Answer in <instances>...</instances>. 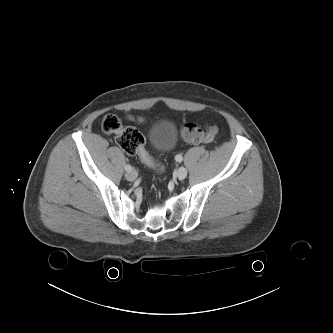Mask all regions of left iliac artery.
<instances>
[{
  "mask_svg": "<svg viewBox=\"0 0 333 333\" xmlns=\"http://www.w3.org/2000/svg\"><path fill=\"white\" fill-rule=\"evenodd\" d=\"M175 160H176L177 162H182L183 157H182L180 154H178V155L175 156Z\"/></svg>",
  "mask_w": 333,
  "mask_h": 333,
  "instance_id": "44dca946",
  "label": "left iliac artery"
}]
</instances>
